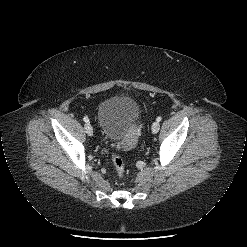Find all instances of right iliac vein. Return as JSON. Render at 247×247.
<instances>
[{
	"mask_svg": "<svg viewBox=\"0 0 247 247\" xmlns=\"http://www.w3.org/2000/svg\"><path fill=\"white\" fill-rule=\"evenodd\" d=\"M84 128H85L86 133L89 136H92L93 135V128H92V126L89 123H86L85 126H84Z\"/></svg>",
	"mask_w": 247,
	"mask_h": 247,
	"instance_id": "63e3f726",
	"label": "right iliac vein"
}]
</instances>
